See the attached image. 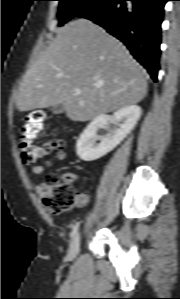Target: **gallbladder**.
<instances>
[{"instance_id": "obj_1", "label": "gallbladder", "mask_w": 180, "mask_h": 299, "mask_svg": "<svg viewBox=\"0 0 180 299\" xmlns=\"http://www.w3.org/2000/svg\"><path fill=\"white\" fill-rule=\"evenodd\" d=\"M51 111L54 113V114H61L63 111H64V106L62 104H58L56 106H53L51 108Z\"/></svg>"}]
</instances>
